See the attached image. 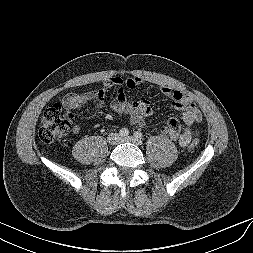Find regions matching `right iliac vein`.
<instances>
[{"instance_id": "1", "label": "right iliac vein", "mask_w": 253, "mask_h": 253, "mask_svg": "<svg viewBox=\"0 0 253 253\" xmlns=\"http://www.w3.org/2000/svg\"><path fill=\"white\" fill-rule=\"evenodd\" d=\"M108 140V143L111 144V145H117L120 143L121 141V137L118 133H112L108 136L107 138Z\"/></svg>"}]
</instances>
